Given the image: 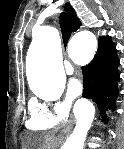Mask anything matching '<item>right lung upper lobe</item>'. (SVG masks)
Masks as SVG:
<instances>
[{"instance_id":"1","label":"right lung upper lobe","mask_w":124,"mask_h":149,"mask_svg":"<svg viewBox=\"0 0 124 149\" xmlns=\"http://www.w3.org/2000/svg\"><path fill=\"white\" fill-rule=\"evenodd\" d=\"M65 10L70 17L73 32L77 31L80 28V26L82 25V23L76 16L75 10L71 7V5L69 3H66Z\"/></svg>"}]
</instances>
